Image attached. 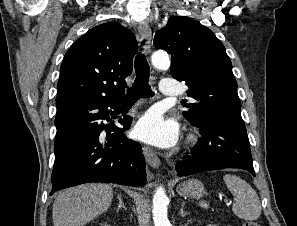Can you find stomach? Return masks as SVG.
<instances>
[{
    "instance_id": "obj_1",
    "label": "stomach",
    "mask_w": 297,
    "mask_h": 226,
    "mask_svg": "<svg viewBox=\"0 0 297 226\" xmlns=\"http://www.w3.org/2000/svg\"><path fill=\"white\" fill-rule=\"evenodd\" d=\"M177 191L181 196L194 199L202 197L205 193L204 185L201 181L196 179H190L179 184Z\"/></svg>"
}]
</instances>
